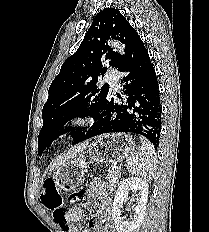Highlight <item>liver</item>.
<instances>
[{"mask_svg": "<svg viewBox=\"0 0 209 232\" xmlns=\"http://www.w3.org/2000/svg\"><path fill=\"white\" fill-rule=\"evenodd\" d=\"M88 143L81 144L79 146L74 147L72 150L68 151L62 157H60L53 165H51L50 169L57 168L68 162L70 159L76 157L81 151H83L87 147Z\"/></svg>", "mask_w": 209, "mask_h": 232, "instance_id": "6515ba94", "label": "liver"}]
</instances>
